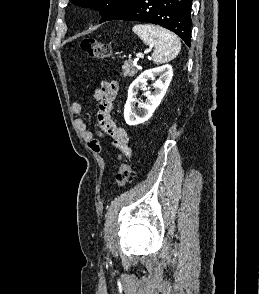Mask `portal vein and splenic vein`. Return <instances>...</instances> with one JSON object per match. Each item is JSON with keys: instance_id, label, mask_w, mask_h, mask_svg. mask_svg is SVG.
I'll return each instance as SVG.
<instances>
[{"instance_id": "1", "label": "portal vein and splenic vein", "mask_w": 259, "mask_h": 294, "mask_svg": "<svg viewBox=\"0 0 259 294\" xmlns=\"http://www.w3.org/2000/svg\"><path fill=\"white\" fill-rule=\"evenodd\" d=\"M137 59H141L144 57V55L142 53H137L136 54Z\"/></svg>"}]
</instances>
